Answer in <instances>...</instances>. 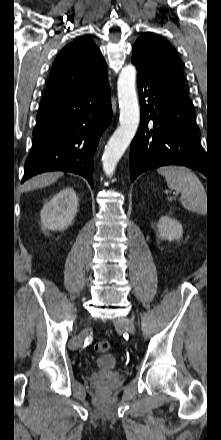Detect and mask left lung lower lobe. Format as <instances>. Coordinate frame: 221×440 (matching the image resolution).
Returning a JSON list of instances; mask_svg holds the SVG:
<instances>
[{
    "label": "left lung lower lobe",
    "instance_id": "1",
    "mask_svg": "<svg viewBox=\"0 0 221 440\" xmlns=\"http://www.w3.org/2000/svg\"><path fill=\"white\" fill-rule=\"evenodd\" d=\"M137 67L141 121L130 149L131 181L147 170L183 165L208 176L195 111L186 93Z\"/></svg>",
    "mask_w": 221,
    "mask_h": 440
}]
</instances>
